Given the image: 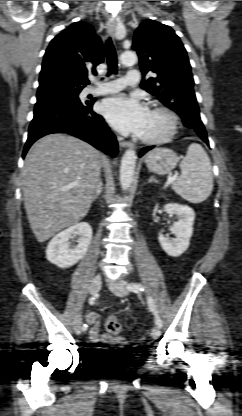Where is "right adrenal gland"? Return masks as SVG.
Here are the masks:
<instances>
[{
  "instance_id": "right-adrenal-gland-1",
  "label": "right adrenal gland",
  "mask_w": 242,
  "mask_h": 416,
  "mask_svg": "<svg viewBox=\"0 0 242 416\" xmlns=\"http://www.w3.org/2000/svg\"><path fill=\"white\" fill-rule=\"evenodd\" d=\"M102 186H103L102 180L99 179V182H98V185L96 187V191L93 197V201L96 200L98 196L102 193Z\"/></svg>"
}]
</instances>
